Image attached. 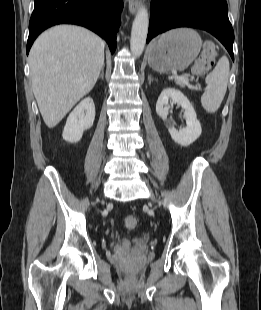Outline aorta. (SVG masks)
<instances>
[{
    "mask_svg": "<svg viewBox=\"0 0 261 310\" xmlns=\"http://www.w3.org/2000/svg\"><path fill=\"white\" fill-rule=\"evenodd\" d=\"M149 15L145 7L140 8L133 21L130 39V49L134 57L143 53L148 33Z\"/></svg>",
    "mask_w": 261,
    "mask_h": 310,
    "instance_id": "obj_1",
    "label": "aorta"
}]
</instances>
